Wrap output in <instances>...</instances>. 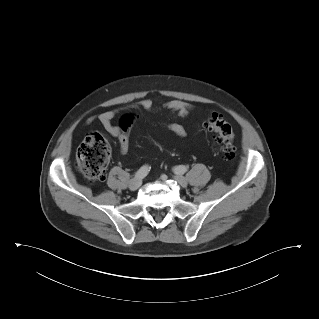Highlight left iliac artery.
I'll return each instance as SVG.
<instances>
[{
    "label": "left iliac artery",
    "instance_id": "left-iliac-artery-1",
    "mask_svg": "<svg viewBox=\"0 0 319 319\" xmlns=\"http://www.w3.org/2000/svg\"><path fill=\"white\" fill-rule=\"evenodd\" d=\"M175 173L184 174L187 171V167L184 165H179L174 168Z\"/></svg>",
    "mask_w": 319,
    "mask_h": 319
}]
</instances>
